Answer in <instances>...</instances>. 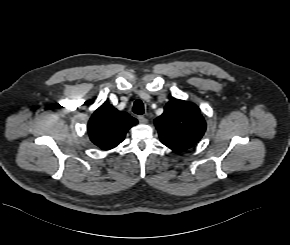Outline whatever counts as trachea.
<instances>
[{"mask_svg": "<svg viewBox=\"0 0 290 245\" xmlns=\"http://www.w3.org/2000/svg\"><path fill=\"white\" fill-rule=\"evenodd\" d=\"M133 112L138 115H142L144 113V105L142 101L137 100L133 105Z\"/></svg>", "mask_w": 290, "mask_h": 245, "instance_id": "3493384b", "label": "trachea"}]
</instances>
